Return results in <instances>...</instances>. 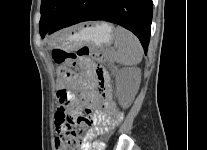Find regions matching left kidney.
Segmentation results:
<instances>
[{
  "instance_id": "1",
  "label": "left kidney",
  "mask_w": 207,
  "mask_h": 150,
  "mask_svg": "<svg viewBox=\"0 0 207 150\" xmlns=\"http://www.w3.org/2000/svg\"><path fill=\"white\" fill-rule=\"evenodd\" d=\"M141 71L139 68H122L116 77V93L119 105L128 108L139 89Z\"/></svg>"
}]
</instances>
